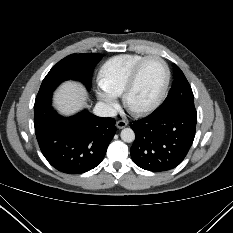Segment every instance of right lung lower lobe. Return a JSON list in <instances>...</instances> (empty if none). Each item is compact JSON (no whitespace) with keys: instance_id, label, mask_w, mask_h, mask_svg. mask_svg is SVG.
<instances>
[{"instance_id":"1","label":"right lung lower lobe","mask_w":233,"mask_h":233,"mask_svg":"<svg viewBox=\"0 0 233 233\" xmlns=\"http://www.w3.org/2000/svg\"><path fill=\"white\" fill-rule=\"evenodd\" d=\"M52 93L35 100V134L44 157L57 170L81 174L98 166L116 133L115 119L89 112L64 118L51 106Z\"/></svg>"}]
</instances>
